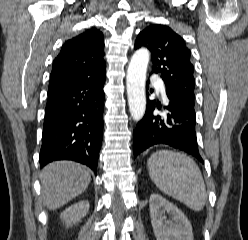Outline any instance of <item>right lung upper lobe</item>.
I'll return each instance as SVG.
<instances>
[{
  "instance_id": "1",
  "label": "right lung upper lobe",
  "mask_w": 248,
  "mask_h": 240,
  "mask_svg": "<svg viewBox=\"0 0 248 240\" xmlns=\"http://www.w3.org/2000/svg\"><path fill=\"white\" fill-rule=\"evenodd\" d=\"M103 56L104 38L98 29H88L66 41L53 62L48 91L104 75Z\"/></svg>"
}]
</instances>
